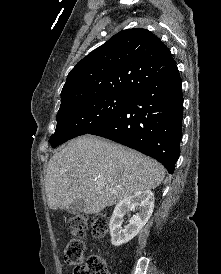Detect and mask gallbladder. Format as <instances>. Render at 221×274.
<instances>
[{"instance_id":"obj_1","label":"gallbladder","mask_w":221,"mask_h":274,"mask_svg":"<svg viewBox=\"0 0 221 274\" xmlns=\"http://www.w3.org/2000/svg\"><path fill=\"white\" fill-rule=\"evenodd\" d=\"M85 208V202L83 199L74 200L69 208L67 209L69 213L76 215L81 213Z\"/></svg>"}]
</instances>
